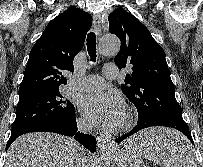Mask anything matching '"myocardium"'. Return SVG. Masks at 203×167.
I'll use <instances>...</instances> for the list:
<instances>
[{"label": "myocardium", "mask_w": 203, "mask_h": 167, "mask_svg": "<svg viewBox=\"0 0 203 167\" xmlns=\"http://www.w3.org/2000/svg\"><path fill=\"white\" fill-rule=\"evenodd\" d=\"M132 124H133V117L130 114H126L123 117V120L120 123L119 128L121 130H126V129L130 128L132 126Z\"/></svg>", "instance_id": "f54148a6"}]
</instances>
